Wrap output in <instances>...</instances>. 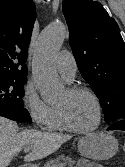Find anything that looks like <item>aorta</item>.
<instances>
[{"instance_id": "aorta-1", "label": "aorta", "mask_w": 125, "mask_h": 167, "mask_svg": "<svg viewBox=\"0 0 125 167\" xmlns=\"http://www.w3.org/2000/svg\"><path fill=\"white\" fill-rule=\"evenodd\" d=\"M65 37L66 28L61 22L48 25L39 36L32 73L36 87L46 103L55 101L62 92L54 57Z\"/></svg>"}]
</instances>
